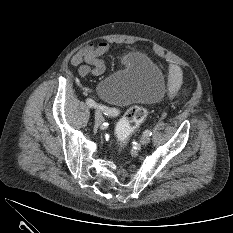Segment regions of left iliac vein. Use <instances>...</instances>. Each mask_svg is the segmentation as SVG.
Masks as SVG:
<instances>
[{
  "mask_svg": "<svg viewBox=\"0 0 233 233\" xmlns=\"http://www.w3.org/2000/svg\"><path fill=\"white\" fill-rule=\"evenodd\" d=\"M150 142V137L148 135H143L140 139L142 145H146Z\"/></svg>",
  "mask_w": 233,
  "mask_h": 233,
  "instance_id": "1",
  "label": "left iliac vein"
}]
</instances>
